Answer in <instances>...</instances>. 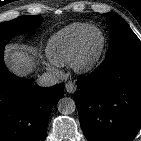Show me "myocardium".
<instances>
[{"label": "myocardium", "instance_id": "obj_1", "mask_svg": "<svg viewBox=\"0 0 141 141\" xmlns=\"http://www.w3.org/2000/svg\"><path fill=\"white\" fill-rule=\"evenodd\" d=\"M93 32H98L101 35L102 41H101V45L99 49L97 50V52L94 55L89 57L87 55V41H88L90 34ZM106 43H107L106 37H105V34L102 32V30L94 26L89 28L83 34L80 40L76 55L72 62V66L74 70L77 71L78 73H88L94 70L97 67V65L99 64V62L101 61V58L106 49Z\"/></svg>", "mask_w": 141, "mask_h": 141}]
</instances>
